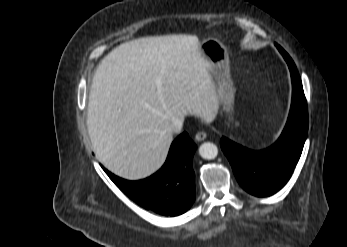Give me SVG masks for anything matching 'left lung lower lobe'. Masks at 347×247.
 I'll return each mask as SVG.
<instances>
[{
	"instance_id": "0a47b994",
	"label": "left lung lower lobe",
	"mask_w": 347,
	"mask_h": 247,
	"mask_svg": "<svg viewBox=\"0 0 347 247\" xmlns=\"http://www.w3.org/2000/svg\"><path fill=\"white\" fill-rule=\"evenodd\" d=\"M286 60L292 78V103L285 128L269 148L252 151L223 137L221 148L237 181L252 195L270 196L290 179L301 156L308 131L307 103L296 66L285 50L276 45Z\"/></svg>"
}]
</instances>
